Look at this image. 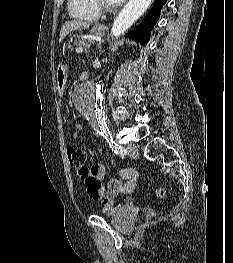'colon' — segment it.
I'll list each match as a JSON object with an SVG mask.
<instances>
[{
	"instance_id": "obj_1",
	"label": "colon",
	"mask_w": 233,
	"mask_h": 263,
	"mask_svg": "<svg viewBox=\"0 0 233 263\" xmlns=\"http://www.w3.org/2000/svg\"><path fill=\"white\" fill-rule=\"evenodd\" d=\"M67 156L70 165L73 168H76L78 170V174L81 177H86L89 173L87 166L85 165L86 162V153L83 149L69 146L67 148ZM155 196L158 198H162L166 195V189L163 187L158 188L155 191Z\"/></svg>"
}]
</instances>
